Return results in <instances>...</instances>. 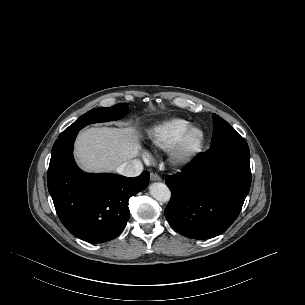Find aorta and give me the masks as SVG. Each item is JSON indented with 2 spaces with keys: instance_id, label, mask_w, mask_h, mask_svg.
<instances>
[{
  "instance_id": "obj_1",
  "label": "aorta",
  "mask_w": 305,
  "mask_h": 305,
  "mask_svg": "<svg viewBox=\"0 0 305 305\" xmlns=\"http://www.w3.org/2000/svg\"><path fill=\"white\" fill-rule=\"evenodd\" d=\"M149 193L159 202H168L171 198L170 189L163 183H152L149 187Z\"/></svg>"
}]
</instances>
